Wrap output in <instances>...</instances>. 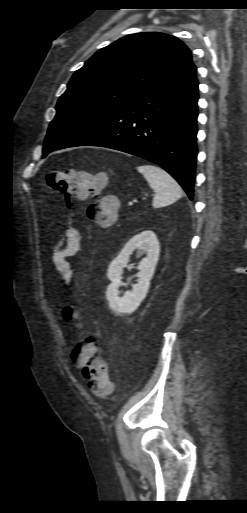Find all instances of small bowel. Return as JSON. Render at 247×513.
Returning a JSON list of instances; mask_svg holds the SVG:
<instances>
[{"instance_id": "obj_1", "label": "small bowel", "mask_w": 247, "mask_h": 513, "mask_svg": "<svg viewBox=\"0 0 247 513\" xmlns=\"http://www.w3.org/2000/svg\"><path fill=\"white\" fill-rule=\"evenodd\" d=\"M81 250L82 238L75 226L68 227L51 247L52 265L59 273L62 282L68 283L71 280L72 271L69 259L79 254ZM72 363L74 364V361Z\"/></svg>"}]
</instances>
